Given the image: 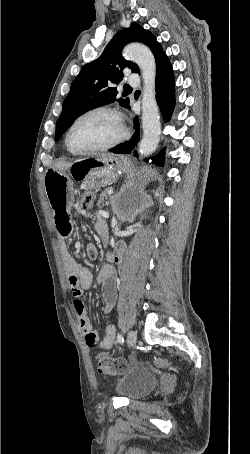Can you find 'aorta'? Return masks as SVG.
Segmentation results:
<instances>
[{
	"label": "aorta",
	"instance_id": "aorta-1",
	"mask_svg": "<svg viewBox=\"0 0 250 454\" xmlns=\"http://www.w3.org/2000/svg\"><path fill=\"white\" fill-rule=\"evenodd\" d=\"M124 55L135 62L143 79L142 92V128L143 137L139 143V152L143 156L152 154L159 143L161 123L159 109L156 102L155 58L148 47L140 43H130L123 51Z\"/></svg>",
	"mask_w": 250,
	"mask_h": 454
}]
</instances>
